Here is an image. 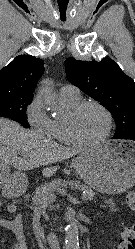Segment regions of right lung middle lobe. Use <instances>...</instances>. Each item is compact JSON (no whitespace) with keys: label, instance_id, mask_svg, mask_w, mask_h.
I'll list each match as a JSON object with an SVG mask.
<instances>
[{"label":"right lung middle lobe","instance_id":"obj_1","mask_svg":"<svg viewBox=\"0 0 135 249\" xmlns=\"http://www.w3.org/2000/svg\"><path fill=\"white\" fill-rule=\"evenodd\" d=\"M32 98L26 95L0 94V117L10 118L28 128L26 108Z\"/></svg>","mask_w":135,"mask_h":249}]
</instances>
